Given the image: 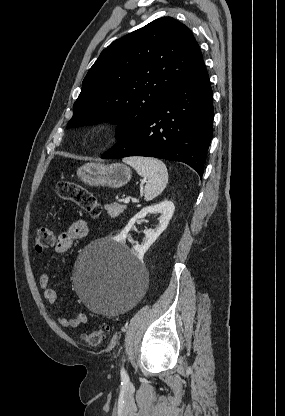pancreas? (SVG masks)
<instances>
[{
    "label": "pancreas",
    "mask_w": 285,
    "mask_h": 416,
    "mask_svg": "<svg viewBox=\"0 0 285 416\" xmlns=\"http://www.w3.org/2000/svg\"><path fill=\"white\" fill-rule=\"evenodd\" d=\"M104 208L111 218H117L119 214H122L126 210L127 206H121V204H105Z\"/></svg>",
    "instance_id": "1"
}]
</instances>
